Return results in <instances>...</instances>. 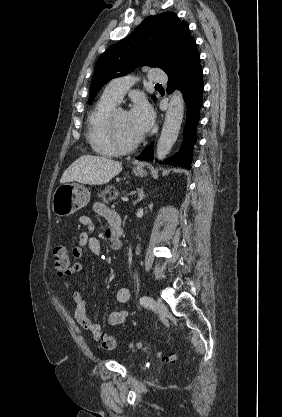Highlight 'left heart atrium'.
<instances>
[{"mask_svg":"<svg viewBox=\"0 0 282 417\" xmlns=\"http://www.w3.org/2000/svg\"><path fill=\"white\" fill-rule=\"evenodd\" d=\"M131 121L135 129L140 133L149 130L153 122V113L147 103H138L130 113Z\"/></svg>","mask_w":282,"mask_h":417,"instance_id":"obj_1","label":"left heart atrium"}]
</instances>
